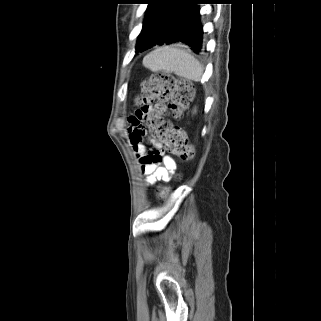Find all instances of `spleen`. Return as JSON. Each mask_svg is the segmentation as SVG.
<instances>
[{"label": "spleen", "mask_w": 321, "mask_h": 321, "mask_svg": "<svg viewBox=\"0 0 321 321\" xmlns=\"http://www.w3.org/2000/svg\"><path fill=\"white\" fill-rule=\"evenodd\" d=\"M143 65L155 73H175L193 81H200L203 75L201 63L186 50L175 45L157 47L144 57Z\"/></svg>", "instance_id": "1"}]
</instances>
